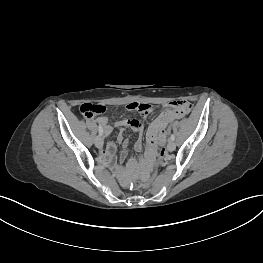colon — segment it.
I'll list each match as a JSON object with an SVG mask.
<instances>
[{
  "label": "colon",
  "instance_id": "5ec220e1",
  "mask_svg": "<svg viewBox=\"0 0 263 263\" xmlns=\"http://www.w3.org/2000/svg\"><path fill=\"white\" fill-rule=\"evenodd\" d=\"M171 105L173 107H175L176 109L182 108L184 110V114L188 113L190 108H191L190 103L185 101V100L175 101V102L171 103ZM106 110H107V107L102 105V104L87 103V104H83L80 107L81 114L86 118H90L92 116L102 114ZM120 110H123V112H127L128 114L139 112V114H141V115H147V114L152 113L154 111V106L151 103H147L145 101H140L138 103L127 102V103H125L124 106L120 107ZM171 133H172V126L168 125L167 126V133H166V136L163 140L164 144H167L168 141L170 140ZM159 156H160V161L158 163H156V166L154 168V172L150 176V178L146 182H142V183L132 182V183L128 184L127 188L129 190L132 191V190H135L136 188L149 187L154 182V179H155L156 174L158 172V168L160 167L161 161H162L163 157L165 156V149L164 148L160 149Z\"/></svg>",
  "mask_w": 263,
  "mask_h": 263
}]
</instances>
